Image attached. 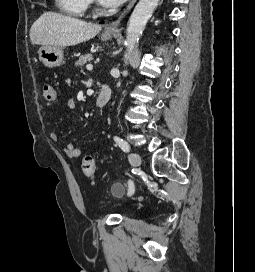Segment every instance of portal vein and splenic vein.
<instances>
[{"label":"portal vein and splenic vein","mask_w":255,"mask_h":272,"mask_svg":"<svg viewBox=\"0 0 255 272\" xmlns=\"http://www.w3.org/2000/svg\"><path fill=\"white\" fill-rule=\"evenodd\" d=\"M86 69L89 70V71H91V70L93 69V65L88 64V65L86 66Z\"/></svg>","instance_id":"obj_1"}]
</instances>
